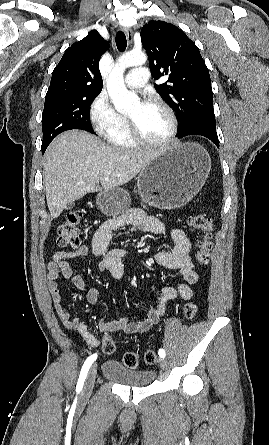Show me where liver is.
Wrapping results in <instances>:
<instances>
[{
    "label": "liver",
    "instance_id": "6515ba94",
    "mask_svg": "<svg viewBox=\"0 0 269 445\" xmlns=\"http://www.w3.org/2000/svg\"><path fill=\"white\" fill-rule=\"evenodd\" d=\"M161 151L109 146L80 130L59 135L45 153L43 171L51 217L87 193L128 183Z\"/></svg>",
    "mask_w": 269,
    "mask_h": 445
}]
</instances>
